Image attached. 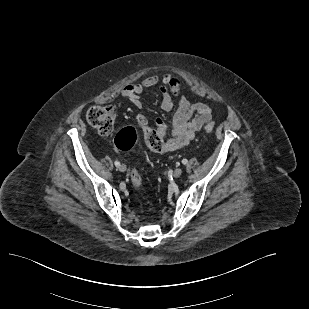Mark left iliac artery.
I'll use <instances>...</instances> for the list:
<instances>
[{"instance_id": "obj_1", "label": "left iliac artery", "mask_w": 309, "mask_h": 309, "mask_svg": "<svg viewBox=\"0 0 309 309\" xmlns=\"http://www.w3.org/2000/svg\"><path fill=\"white\" fill-rule=\"evenodd\" d=\"M182 163H183L184 165H186V164L188 163V160H187V159H183V160H182Z\"/></svg>"}]
</instances>
